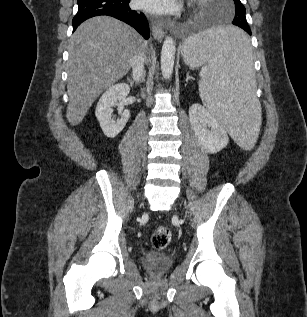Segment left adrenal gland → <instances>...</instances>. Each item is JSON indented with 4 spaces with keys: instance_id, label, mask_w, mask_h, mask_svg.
Returning <instances> with one entry per match:
<instances>
[{
    "instance_id": "left-adrenal-gland-1",
    "label": "left adrenal gland",
    "mask_w": 307,
    "mask_h": 317,
    "mask_svg": "<svg viewBox=\"0 0 307 317\" xmlns=\"http://www.w3.org/2000/svg\"><path fill=\"white\" fill-rule=\"evenodd\" d=\"M189 79H193V78L189 75V73H187V75H186V82H188Z\"/></svg>"
}]
</instances>
